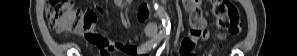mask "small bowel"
I'll use <instances>...</instances> for the list:
<instances>
[{"mask_svg":"<svg viewBox=\"0 0 297 56\" xmlns=\"http://www.w3.org/2000/svg\"><path fill=\"white\" fill-rule=\"evenodd\" d=\"M116 6H122L123 0H114ZM185 8L191 14L190 20V34L185 38L180 46L179 53L182 56H195L193 49L197 40H208L210 33L207 29V20L200 14L199 3L194 0L185 1ZM149 15V9L143 7L140 11L139 18L144 21ZM85 41H88V45H94V49H101V56H108L110 50H120L128 55L138 56L142 55L133 46L120 42V41H108V36H103V33H84Z\"/></svg>","mask_w":297,"mask_h":56,"instance_id":"obj_1","label":"small bowel"}]
</instances>
